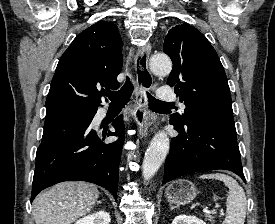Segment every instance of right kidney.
Segmentation results:
<instances>
[{"mask_svg":"<svg viewBox=\"0 0 275 224\" xmlns=\"http://www.w3.org/2000/svg\"><path fill=\"white\" fill-rule=\"evenodd\" d=\"M110 215L106 211H98L79 219L75 224H109Z\"/></svg>","mask_w":275,"mask_h":224,"instance_id":"1","label":"right kidney"}]
</instances>
